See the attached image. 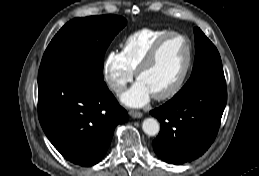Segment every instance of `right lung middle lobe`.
I'll return each instance as SVG.
<instances>
[{"instance_id":"dd1d6c3e","label":"right lung middle lobe","mask_w":259,"mask_h":176,"mask_svg":"<svg viewBox=\"0 0 259 176\" xmlns=\"http://www.w3.org/2000/svg\"><path fill=\"white\" fill-rule=\"evenodd\" d=\"M126 23L123 17L116 15L75 18L69 21L48 45L38 76L73 68L103 78L105 52Z\"/></svg>"}]
</instances>
